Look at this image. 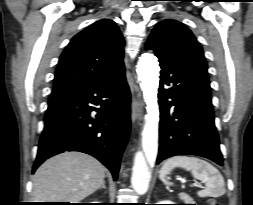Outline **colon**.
I'll list each match as a JSON object with an SVG mask.
<instances>
[{
    "label": "colon",
    "mask_w": 253,
    "mask_h": 205,
    "mask_svg": "<svg viewBox=\"0 0 253 205\" xmlns=\"http://www.w3.org/2000/svg\"><path fill=\"white\" fill-rule=\"evenodd\" d=\"M207 205H217V203L214 200H209Z\"/></svg>",
    "instance_id": "5ec220e1"
}]
</instances>
